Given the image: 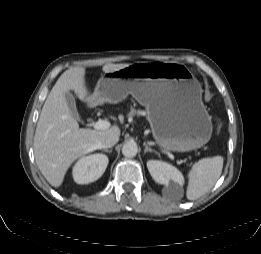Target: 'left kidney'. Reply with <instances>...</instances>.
Here are the masks:
<instances>
[{
    "instance_id": "1",
    "label": "left kidney",
    "mask_w": 261,
    "mask_h": 254,
    "mask_svg": "<svg viewBox=\"0 0 261 254\" xmlns=\"http://www.w3.org/2000/svg\"><path fill=\"white\" fill-rule=\"evenodd\" d=\"M147 168L152 178L159 184L166 186L170 184H178L179 186H182L184 184L182 173L169 163L158 160H149L147 162Z\"/></svg>"
}]
</instances>
